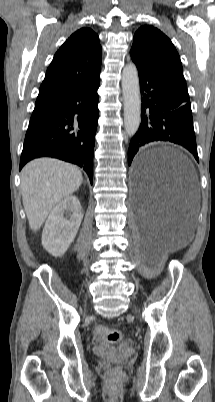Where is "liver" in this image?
<instances>
[{"label": "liver", "mask_w": 215, "mask_h": 402, "mask_svg": "<svg viewBox=\"0 0 215 402\" xmlns=\"http://www.w3.org/2000/svg\"><path fill=\"white\" fill-rule=\"evenodd\" d=\"M82 181L76 166L57 159L39 158L26 164L21 171V190L31 230H39L54 206L78 190Z\"/></svg>", "instance_id": "liver-1"}]
</instances>
